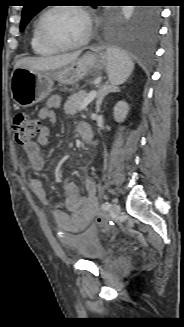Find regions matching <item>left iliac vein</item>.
<instances>
[{
  "instance_id": "left-iliac-vein-1",
  "label": "left iliac vein",
  "mask_w": 184,
  "mask_h": 327,
  "mask_svg": "<svg viewBox=\"0 0 184 327\" xmlns=\"http://www.w3.org/2000/svg\"><path fill=\"white\" fill-rule=\"evenodd\" d=\"M112 212L115 217H118L121 213V207L117 203H113L112 205Z\"/></svg>"
}]
</instances>
